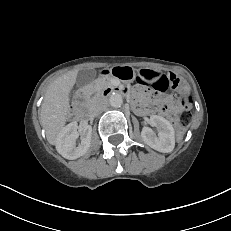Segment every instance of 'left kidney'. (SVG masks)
I'll list each match as a JSON object with an SVG mask.
<instances>
[{"instance_id": "obj_1", "label": "left kidney", "mask_w": 231, "mask_h": 231, "mask_svg": "<svg viewBox=\"0 0 231 231\" xmlns=\"http://www.w3.org/2000/svg\"><path fill=\"white\" fill-rule=\"evenodd\" d=\"M149 123L158 129V136L151 128L143 127L141 136L144 142L159 152H172L175 146V133L171 123L158 115H152Z\"/></svg>"}]
</instances>
